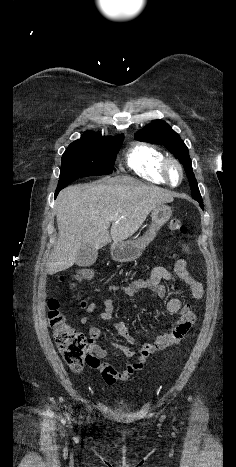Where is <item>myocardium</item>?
I'll use <instances>...</instances> for the list:
<instances>
[{
  "label": "myocardium",
  "instance_id": "f54148a6",
  "mask_svg": "<svg viewBox=\"0 0 236 467\" xmlns=\"http://www.w3.org/2000/svg\"><path fill=\"white\" fill-rule=\"evenodd\" d=\"M175 166L177 168V170L179 171V180L178 182L174 183L172 182L171 178H170V166ZM161 173H162V176L164 177V179L166 180V182L170 185V186H177L179 185L183 179H184V170H183V166L182 164L174 157H166L163 162H162V165H161Z\"/></svg>",
  "mask_w": 236,
  "mask_h": 467
}]
</instances>
